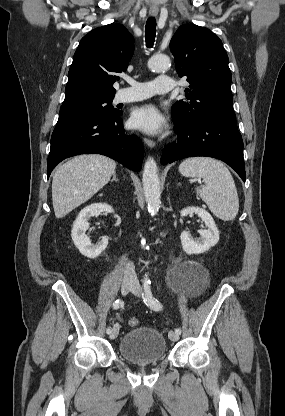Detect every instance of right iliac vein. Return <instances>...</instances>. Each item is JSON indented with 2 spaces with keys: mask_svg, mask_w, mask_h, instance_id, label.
<instances>
[{
  "mask_svg": "<svg viewBox=\"0 0 285 416\" xmlns=\"http://www.w3.org/2000/svg\"><path fill=\"white\" fill-rule=\"evenodd\" d=\"M134 283L135 282L132 279H130V280L124 279L122 281V284H121V292H122V294L123 295H126L129 292V290L131 289V287L134 285ZM118 334H119V324H115L113 326L112 331L110 332L109 338L110 339H115L118 336Z\"/></svg>",
  "mask_w": 285,
  "mask_h": 416,
  "instance_id": "63e3f726",
  "label": "right iliac vein"
}]
</instances>
